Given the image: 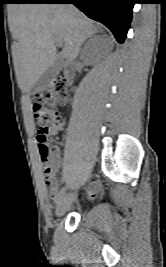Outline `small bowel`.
<instances>
[{"mask_svg":"<svg viewBox=\"0 0 166 267\" xmlns=\"http://www.w3.org/2000/svg\"><path fill=\"white\" fill-rule=\"evenodd\" d=\"M63 123L60 122L54 126L53 134H57L62 129ZM53 165H54V174L50 177L45 175V182L49 189V195L51 198H56L58 196V184L55 177V173L60 166V156L59 152L56 150L54 152L53 158ZM100 190V185L98 183L91 184L87 189V194L89 197H94Z\"/></svg>","mask_w":166,"mask_h":267,"instance_id":"c3829d8e","label":"small bowel"}]
</instances>
